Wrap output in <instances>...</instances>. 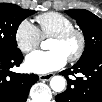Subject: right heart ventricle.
Instances as JSON below:
<instances>
[{
    "mask_svg": "<svg viewBox=\"0 0 102 102\" xmlns=\"http://www.w3.org/2000/svg\"><path fill=\"white\" fill-rule=\"evenodd\" d=\"M36 20L42 38L54 37L75 27L72 19L58 12H47L38 15Z\"/></svg>",
    "mask_w": 102,
    "mask_h": 102,
    "instance_id": "1",
    "label": "right heart ventricle"
}]
</instances>
